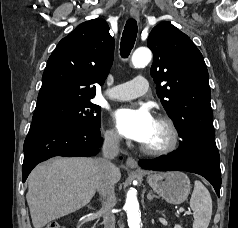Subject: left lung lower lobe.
Here are the masks:
<instances>
[{
  "label": "left lung lower lobe",
  "mask_w": 238,
  "mask_h": 228,
  "mask_svg": "<svg viewBox=\"0 0 238 228\" xmlns=\"http://www.w3.org/2000/svg\"><path fill=\"white\" fill-rule=\"evenodd\" d=\"M139 165L154 171H188L205 177L220 196V156L215 141L198 146L194 152L182 156L178 151L153 160H140Z\"/></svg>",
  "instance_id": "obj_1"
}]
</instances>
